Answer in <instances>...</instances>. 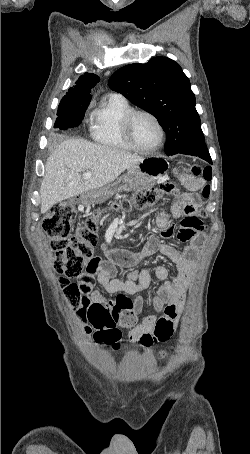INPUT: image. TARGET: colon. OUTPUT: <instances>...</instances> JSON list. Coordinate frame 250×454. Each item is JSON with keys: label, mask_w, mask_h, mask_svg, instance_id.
I'll return each instance as SVG.
<instances>
[{"label": "colon", "mask_w": 250, "mask_h": 454, "mask_svg": "<svg viewBox=\"0 0 250 454\" xmlns=\"http://www.w3.org/2000/svg\"><path fill=\"white\" fill-rule=\"evenodd\" d=\"M189 172L194 177H202L205 180H210L212 176L211 169L208 167L193 166ZM178 195V187L172 182H167L159 187L150 188L138 192L132 197L122 199L112 206V210H143L155 205L165 197H177ZM201 196L203 199L208 198L209 189L207 187L202 190ZM75 203V199L57 202L50 208L43 221V229L50 239V246L54 253V268L61 275L59 284L69 305L74 310L81 305V290L72 279L78 277L94 258L98 241L97 220L100 216V212L96 211L73 232L76 215ZM199 216L204 217L205 211L200 210ZM86 316L95 330V341L103 342L114 349L120 346L122 339L119 326H132V320H120L103 304H91L86 311Z\"/></svg>", "instance_id": "obj_1"}]
</instances>
